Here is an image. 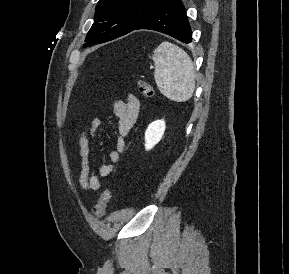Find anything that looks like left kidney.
Segmentation results:
<instances>
[{
    "label": "left kidney",
    "mask_w": 289,
    "mask_h": 274,
    "mask_svg": "<svg viewBox=\"0 0 289 274\" xmlns=\"http://www.w3.org/2000/svg\"><path fill=\"white\" fill-rule=\"evenodd\" d=\"M165 131V121L152 122L145 132V149H152L162 138Z\"/></svg>",
    "instance_id": "left-kidney-1"
}]
</instances>
